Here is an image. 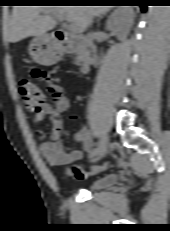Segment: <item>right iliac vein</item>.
<instances>
[{"label":"right iliac vein","instance_id":"obj_1","mask_svg":"<svg viewBox=\"0 0 170 231\" xmlns=\"http://www.w3.org/2000/svg\"><path fill=\"white\" fill-rule=\"evenodd\" d=\"M108 145H109V137L108 135L104 134L101 137V140L98 146V151H97V154L94 156L93 161H97L106 155L108 151Z\"/></svg>","mask_w":170,"mask_h":231}]
</instances>
